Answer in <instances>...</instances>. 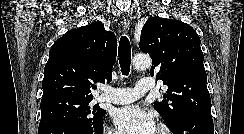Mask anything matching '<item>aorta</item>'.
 Segmentation results:
<instances>
[{
    "instance_id": "1",
    "label": "aorta",
    "mask_w": 244,
    "mask_h": 134,
    "mask_svg": "<svg viewBox=\"0 0 244 134\" xmlns=\"http://www.w3.org/2000/svg\"><path fill=\"white\" fill-rule=\"evenodd\" d=\"M151 58L147 55H136L133 58V65L138 70H145L151 67Z\"/></svg>"
}]
</instances>
